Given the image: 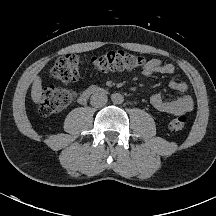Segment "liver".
<instances>
[{
    "instance_id": "liver-1",
    "label": "liver",
    "mask_w": 216,
    "mask_h": 216,
    "mask_svg": "<svg viewBox=\"0 0 216 216\" xmlns=\"http://www.w3.org/2000/svg\"><path fill=\"white\" fill-rule=\"evenodd\" d=\"M42 93H43V89H42L41 78L39 76H36L34 78V82H33V85H32V91H31L32 100L36 104L41 101Z\"/></svg>"
}]
</instances>
